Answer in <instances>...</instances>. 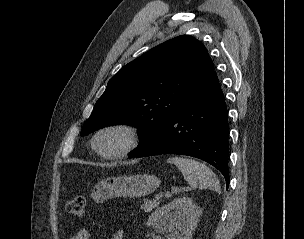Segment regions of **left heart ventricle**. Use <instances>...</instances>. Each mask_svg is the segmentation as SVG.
<instances>
[{"label": "left heart ventricle", "mask_w": 304, "mask_h": 239, "mask_svg": "<svg viewBox=\"0 0 304 239\" xmlns=\"http://www.w3.org/2000/svg\"><path fill=\"white\" fill-rule=\"evenodd\" d=\"M124 143L123 136L117 132L106 133L99 139V147L105 152H111L119 147H121Z\"/></svg>", "instance_id": "b2bd125f"}]
</instances>
